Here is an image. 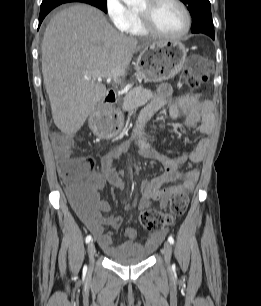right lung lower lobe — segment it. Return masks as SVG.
<instances>
[{
  "label": "right lung lower lobe",
  "instance_id": "98d812e1",
  "mask_svg": "<svg viewBox=\"0 0 261 306\" xmlns=\"http://www.w3.org/2000/svg\"><path fill=\"white\" fill-rule=\"evenodd\" d=\"M56 6L58 5H52V6H47V7H43L40 9V16H39V26L41 25L43 19L45 18V16L52 10L54 9Z\"/></svg>",
  "mask_w": 261,
  "mask_h": 306
}]
</instances>
